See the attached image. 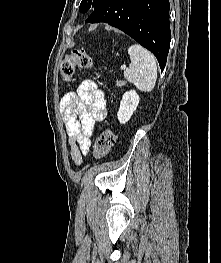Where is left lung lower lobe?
Instances as JSON below:
<instances>
[{"mask_svg":"<svg viewBox=\"0 0 221 263\" xmlns=\"http://www.w3.org/2000/svg\"><path fill=\"white\" fill-rule=\"evenodd\" d=\"M169 9L168 0H104L85 22L122 30L150 50L163 70L170 46Z\"/></svg>","mask_w":221,"mask_h":263,"instance_id":"obj_1","label":"left lung lower lobe"}]
</instances>
